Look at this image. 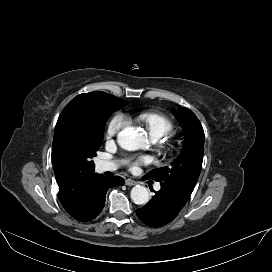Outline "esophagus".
I'll list each match as a JSON object with an SVG mask.
<instances>
[{"instance_id":"1","label":"esophagus","mask_w":272,"mask_h":272,"mask_svg":"<svg viewBox=\"0 0 272 272\" xmlns=\"http://www.w3.org/2000/svg\"><path fill=\"white\" fill-rule=\"evenodd\" d=\"M125 185H127V186H134V185H136V181H134L132 179H126L125 180Z\"/></svg>"}]
</instances>
